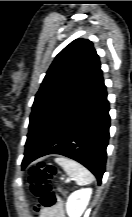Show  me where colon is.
Segmentation results:
<instances>
[{
  "label": "colon",
  "mask_w": 132,
  "mask_h": 217,
  "mask_svg": "<svg viewBox=\"0 0 132 217\" xmlns=\"http://www.w3.org/2000/svg\"><path fill=\"white\" fill-rule=\"evenodd\" d=\"M56 174L55 166L47 163H40L30 170L31 193L38 200L41 208L52 207L59 202L58 196L51 185V181Z\"/></svg>",
  "instance_id": "1"
}]
</instances>
